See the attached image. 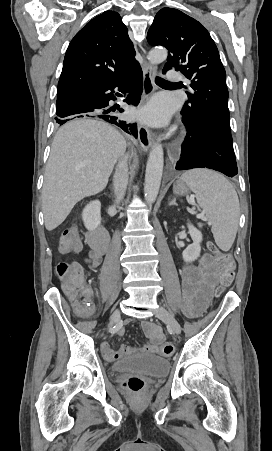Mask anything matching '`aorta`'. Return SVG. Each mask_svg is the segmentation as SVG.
Returning <instances> with one entry per match:
<instances>
[{
	"label": "aorta",
	"mask_w": 272,
	"mask_h": 451,
	"mask_svg": "<svg viewBox=\"0 0 272 451\" xmlns=\"http://www.w3.org/2000/svg\"><path fill=\"white\" fill-rule=\"evenodd\" d=\"M168 54L165 48H155L150 50L147 58L151 64H161L166 60ZM164 154L162 144H153L145 174L144 198L147 204L155 202L163 174Z\"/></svg>",
	"instance_id": "aorta-1"
}]
</instances>
